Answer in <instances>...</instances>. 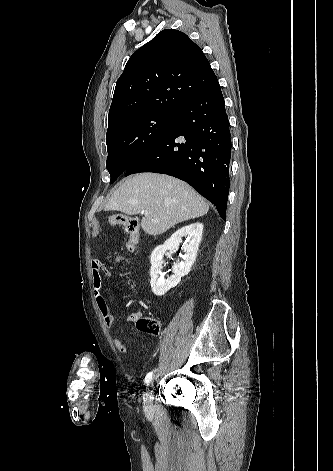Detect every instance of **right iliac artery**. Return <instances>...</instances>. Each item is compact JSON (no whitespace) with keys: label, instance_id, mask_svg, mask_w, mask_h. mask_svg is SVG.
<instances>
[{"label":"right iliac artery","instance_id":"82829eb1","mask_svg":"<svg viewBox=\"0 0 333 471\" xmlns=\"http://www.w3.org/2000/svg\"><path fill=\"white\" fill-rule=\"evenodd\" d=\"M152 376H153V372H149V373L146 375V377H145V379H144V382H145L146 384H149L150 381H151V379H152Z\"/></svg>","mask_w":333,"mask_h":471}]
</instances>
